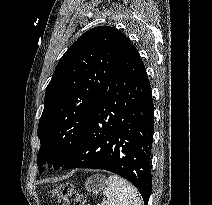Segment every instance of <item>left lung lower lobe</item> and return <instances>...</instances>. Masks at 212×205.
<instances>
[{"label":"left lung lower lobe","instance_id":"1","mask_svg":"<svg viewBox=\"0 0 212 205\" xmlns=\"http://www.w3.org/2000/svg\"><path fill=\"white\" fill-rule=\"evenodd\" d=\"M152 91L145 66L131 45L107 92L92 113L82 140L62 170L104 169L130 181L148 204L149 159L154 131Z\"/></svg>","mask_w":212,"mask_h":205}]
</instances>
